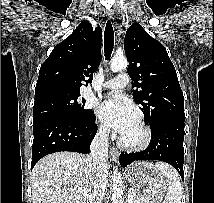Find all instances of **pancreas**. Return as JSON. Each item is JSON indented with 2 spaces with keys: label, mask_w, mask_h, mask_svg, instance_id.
Segmentation results:
<instances>
[{
  "label": "pancreas",
  "mask_w": 214,
  "mask_h": 203,
  "mask_svg": "<svg viewBox=\"0 0 214 203\" xmlns=\"http://www.w3.org/2000/svg\"><path fill=\"white\" fill-rule=\"evenodd\" d=\"M132 195H133V198H135V193L134 192H132ZM135 203V202H134Z\"/></svg>",
  "instance_id": "obj_1"
}]
</instances>
